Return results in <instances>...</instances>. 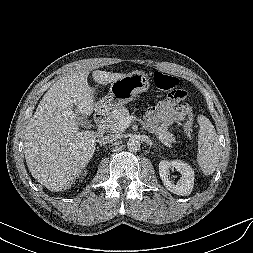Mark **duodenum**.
Listing matches in <instances>:
<instances>
[{"mask_svg":"<svg viewBox=\"0 0 253 253\" xmlns=\"http://www.w3.org/2000/svg\"><path fill=\"white\" fill-rule=\"evenodd\" d=\"M94 122H95V125L97 127V130L99 132V134H104L105 132V122H106V115L104 112H97L94 116Z\"/></svg>","mask_w":253,"mask_h":253,"instance_id":"410a0bca","label":"duodenum"}]
</instances>
